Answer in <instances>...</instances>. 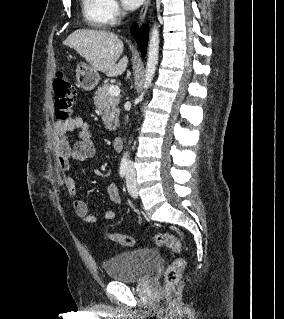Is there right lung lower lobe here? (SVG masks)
Instances as JSON below:
<instances>
[{"mask_svg":"<svg viewBox=\"0 0 284 319\" xmlns=\"http://www.w3.org/2000/svg\"><path fill=\"white\" fill-rule=\"evenodd\" d=\"M131 33L135 37L142 54L145 55L149 33L148 24H145L143 27H141V29H139L136 23H134L131 27Z\"/></svg>","mask_w":284,"mask_h":319,"instance_id":"obj_1","label":"right lung lower lobe"}]
</instances>
